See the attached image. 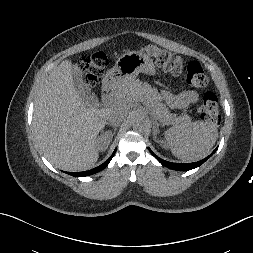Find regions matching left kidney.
Returning a JSON list of instances; mask_svg holds the SVG:
<instances>
[{"label": "left kidney", "mask_w": 253, "mask_h": 253, "mask_svg": "<svg viewBox=\"0 0 253 253\" xmlns=\"http://www.w3.org/2000/svg\"><path fill=\"white\" fill-rule=\"evenodd\" d=\"M160 143L161 146H164L163 141H158Z\"/></svg>", "instance_id": "left-kidney-1"}]
</instances>
